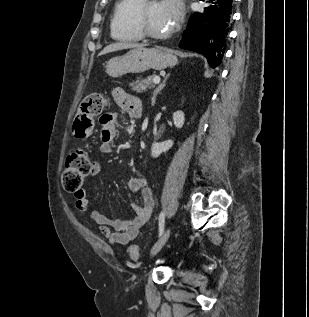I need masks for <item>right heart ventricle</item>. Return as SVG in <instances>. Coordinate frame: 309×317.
<instances>
[{"mask_svg": "<svg viewBox=\"0 0 309 317\" xmlns=\"http://www.w3.org/2000/svg\"><path fill=\"white\" fill-rule=\"evenodd\" d=\"M145 0H118L111 18V35L119 41H138L143 38L137 25V13Z\"/></svg>", "mask_w": 309, "mask_h": 317, "instance_id": "e07e8e85", "label": "right heart ventricle"}]
</instances>
